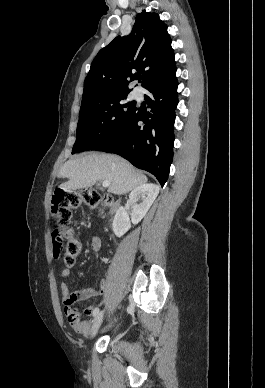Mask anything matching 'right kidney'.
<instances>
[{
  "label": "right kidney",
  "mask_w": 265,
  "mask_h": 388,
  "mask_svg": "<svg viewBox=\"0 0 265 388\" xmlns=\"http://www.w3.org/2000/svg\"><path fill=\"white\" fill-rule=\"evenodd\" d=\"M159 194V188L156 184H142L129 194L132 202H137L138 198H142V204H135L131 214L132 224H139L142 218L146 216L149 208H151L154 200ZM130 218L126 212V208H119L113 220V232L117 238H122L131 228Z\"/></svg>",
  "instance_id": "ca27d5eb"
}]
</instances>
